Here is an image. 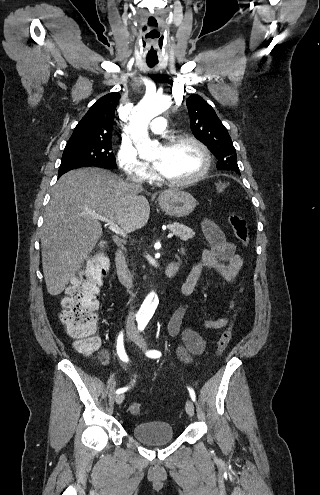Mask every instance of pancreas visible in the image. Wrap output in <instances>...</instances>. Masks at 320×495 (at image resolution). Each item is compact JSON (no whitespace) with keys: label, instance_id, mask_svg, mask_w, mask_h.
I'll return each mask as SVG.
<instances>
[{"label":"pancreas","instance_id":"obj_1","mask_svg":"<svg viewBox=\"0 0 320 495\" xmlns=\"http://www.w3.org/2000/svg\"><path fill=\"white\" fill-rule=\"evenodd\" d=\"M167 229L183 241H188L195 236V232L192 229L178 222L167 225Z\"/></svg>","mask_w":320,"mask_h":495}]
</instances>
